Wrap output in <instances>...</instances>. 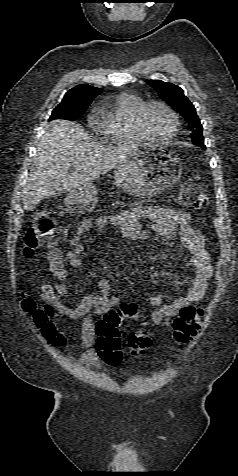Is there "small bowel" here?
I'll use <instances>...</instances> for the list:
<instances>
[{
	"mask_svg": "<svg viewBox=\"0 0 238 476\" xmlns=\"http://www.w3.org/2000/svg\"><path fill=\"white\" fill-rule=\"evenodd\" d=\"M146 222L149 224L146 225ZM108 227L120 228L124 237L133 242L147 240L153 236L171 237L178 232L181 244L188 251L189 265L193 271L191 288L185 296L177 297L167 304L162 303L160 295L152 297L151 304L157 307L150 316L153 325L167 326L182 308L203 298L212 276L210 255L203 235L192 226L188 213L165 207L138 206L116 214L85 220L71 239L70 244L74 250L66 252V258L73 267L78 269L85 267L82 259V252L85 249L83 236ZM59 266L61 272L56 271L53 266L54 281L42 285L41 299L58 313L82 321L81 348L86 350L80 359L86 366L97 367L101 362L100 355L97 350L90 349L97 338V323L109 310L119 308L120 300L110 294L111 285L108 280L103 279L98 283L97 293L84 296L75 307L66 305L61 299L68 295V288L64 283L66 272L60 259ZM95 317L101 318L95 321Z\"/></svg>",
	"mask_w": 238,
	"mask_h": 476,
	"instance_id": "1",
	"label": "small bowel"
}]
</instances>
